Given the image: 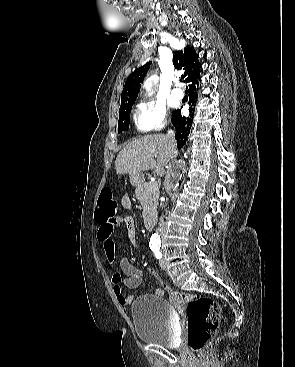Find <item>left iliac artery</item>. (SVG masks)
Returning <instances> with one entry per match:
<instances>
[{"mask_svg":"<svg viewBox=\"0 0 295 367\" xmlns=\"http://www.w3.org/2000/svg\"><path fill=\"white\" fill-rule=\"evenodd\" d=\"M151 250L153 251L154 253V256L157 258V259H160L162 258V253L160 251V247H151Z\"/></svg>","mask_w":295,"mask_h":367,"instance_id":"obj_1","label":"left iliac artery"}]
</instances>
